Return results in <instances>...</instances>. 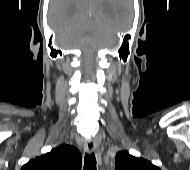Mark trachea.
<instances>
[{
    "label": "trachea",
    "mask_w": 190,
    "mask_h": 170,
    "mask_svg": "<svg viewBox=\"0 0 190 170\" xmlns=\"http://www.w3.org/2000/svg\"><path fill=\"white\" fill-rule=\"evenodd\" d=\"M84 170H96V158L94 153L85 154Z\"/></svg>",
    "instance_id": "trachea-1"
}]
</instances>
